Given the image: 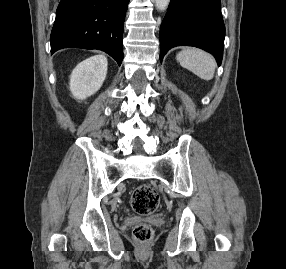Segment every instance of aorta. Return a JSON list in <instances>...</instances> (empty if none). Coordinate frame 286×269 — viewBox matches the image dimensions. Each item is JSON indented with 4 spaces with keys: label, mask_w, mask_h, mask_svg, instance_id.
Here are the masks:
<instances>
[{
    "label": "aorta",
    "mask_w": 286,
    "mask_h": 269,
    "mask_svg": "<svg viewBox=\"0 0 286 269\" xmlns=\"http://www.w3.org/2000/svg\"><path fill=\"white\" fill-rule=\"evenodd\" d=\"M169 2L170 0H155V5L159 11H164L167 9Z\"/></svg>",
    "instance_id": "obj_1"
}]
</instances>
